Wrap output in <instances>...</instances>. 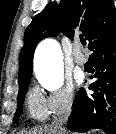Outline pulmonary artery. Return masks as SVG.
Wrapping results in <instances>:
<instances>
[{"mask_svg":"<svg viewBox=\"0 0 116 134\" xmlns=\"http://www.w3.org/2000/svg\"><path fill=\"white\" fill-rule=\"evenodd\" d=\"M74 60L80 66H83L87 61L86 56L81 52L79 43H77L74 48Z\"/></svg>","mask_w":116,"mask_h":134,"instance_id":"e3ab8cb5","label":"pulmonary artery"}]
</instances>
